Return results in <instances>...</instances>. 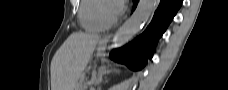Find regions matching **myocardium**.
I'll use <instances>...</instances> for the list:
<instances>
[{
  "label": "myocardium",
  "mask_w": 228,
  "mask_h": 90,
  "mask_svg": "<svg viewBox=\"0 0 228 90\" xmlns=\"http://www.w3.org/2000/svg\"><path fill=\"white\" fill-rule=\"evenodd\" d=\"M110 5L112 7L111 1H104L99 7V18L105 24L106 27L113 26L117 23V16H109L106 13V7Z\"/></svg>",
  "instance_id": "1"
}]
</instances>
